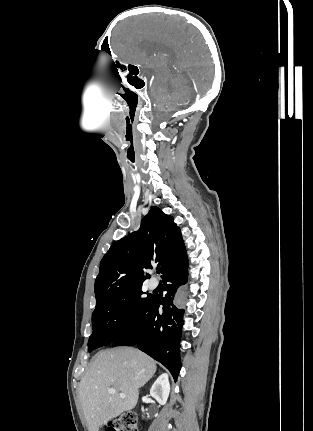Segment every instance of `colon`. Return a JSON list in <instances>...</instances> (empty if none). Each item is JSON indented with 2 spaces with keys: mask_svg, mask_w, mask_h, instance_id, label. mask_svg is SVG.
<instances>
[{
  "mask_svg": "<svg viewBox=\"0 0 313 431\" xmlns=\"http://www.w3.org/2000/svg\"><path fill=\"white\" fill-rule=\"evenodd\" d=\"M105 431H138L137 416L134 412H125L113 420Z\"/></svg>",
  "mask_w": 313,
  "mask_h": 431,
  "instance_id": "5ec220e1",
  "label": "colon"
}]
</instances>
